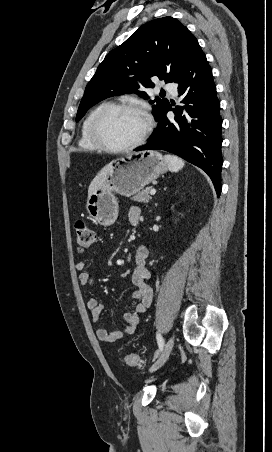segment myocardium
<instances>
[{"label": "myocardium", "instance_id": "myocardium-1", "mask_svg": "<svg viewBox=\"0 0 272 452\" xmlns=\"http://www.w3.org/2000/svg\"><path fill=\"white\" fill-rule=\"evenodd\" d=\"M112 110H126L139 115L144 121V128L140 136L130 144L114 146L108 143L102 136L99 123L104 114ZM152 124L149 117L139 107L127 103H106L101 105L92 115L89 122V134L93 142L102 150L111 153H123L131 151L142 145L151 132Z\"/></svg>", "mask_w": 272, "mask_h": 452}]
</instances>
